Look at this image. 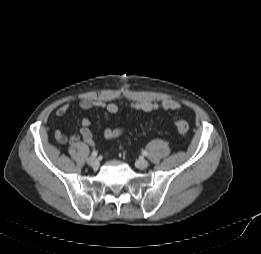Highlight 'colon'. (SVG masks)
<instances>
[{"label": "colon", "mask_w": 261, "mask_h": 254, "mask_svg": "<svg viewBox=\"0 0 261 254\" xmlns=\"http://www.w3.org/2000/svg\"><path fill=\"white\" fill-rule=\"evenodd\" d=\"M173 124L177 131L182 135H185L189 131V123L178 116H174Z\"/></svg>", "instance_id": "colon-1"}]
</instances>
